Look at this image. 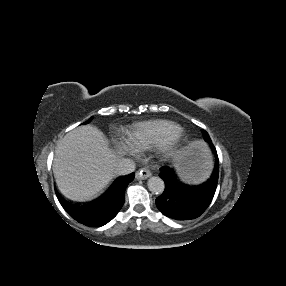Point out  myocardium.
Wrapping results in <instances>:
<instances>
[{"label":"myocardium","instance_id":"1","mask_svg":"<svg viewBox=\"0 0 286 286\" xmlns=\"http://www.w3.org/2000/svg\"><path fill=\"white\" fill-rule=\"evenodd\" d=\"M193 142V136L187 131H181L169 141L154 147L157 157L165 162L177 159Z\"/></svg>","mask_w":286,"mask_h":286}]
</instances>
